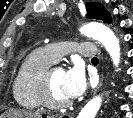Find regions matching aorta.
<instances>
[{"instance_id":"obj_1","label":"aorta","mask_w":133,"mask_h":118,"mask_svg":"<svg viewBox=\"0 0 133 118\" xmlns=\"http://www.w3.org/2000/svg\"><path fill=\"white\" fill-rule=\"evenodd\" d=\"M80 32L84 36L100 41L109 53L113 64L118 67L120 62V45L112 30L103 24L92 22L84 25ZM101 103V96L94 97L82 108L77 118H95Z\"/></svg>"}]
</instances>
